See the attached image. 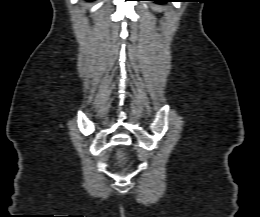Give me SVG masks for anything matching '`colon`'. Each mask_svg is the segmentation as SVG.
Masks as SVG:
<instances>
[{"mask_svg":"<svg viewBox=\"0 0 260 217\" xmlns=\"http://www.w3.org/2000/svg\"><path fill=\"white\" fill-rule=\"evenodd\" d=\"M126 160H127L126 154H125V152H124L123 150H121V151L119 152L120 167H123V166L125 165Z\"/></svg>","mask_w":260,"mask_h":217,"instance_id":"obj_1","label":"colon"}]
</instances>
